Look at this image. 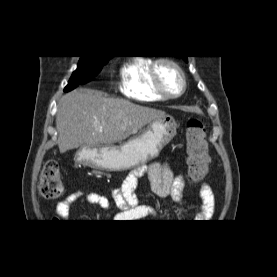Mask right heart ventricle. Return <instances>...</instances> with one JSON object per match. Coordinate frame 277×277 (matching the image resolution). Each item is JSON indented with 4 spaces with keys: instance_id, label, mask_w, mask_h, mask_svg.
I'll return each instance as SVG.
<instances>
[{
    "instance_id": "right-heart-ventricle-1",
    "label": "right heart ventricle",
    "mask_w": 277,
    "mask_h": 277,
    "mask_svg": "<svg viewBox=\"0 0 277 277\" xmlns=\"http://www.w3.org/2000/svg\"><path fill=\"white\" fill-rule=\"evenodd\" d=\"M151 64L148 58H134L122 67L120 89L125 96L144 102L165 100L153 88Z\"/></svg>"
}]
</instances>
